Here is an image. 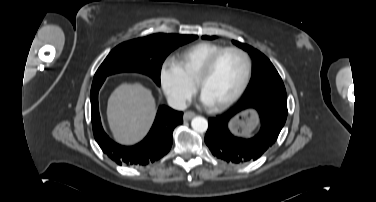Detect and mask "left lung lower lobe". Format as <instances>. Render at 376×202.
Wrapping results in <instances>:
<instances>
[{
	"label": "left lung lower lobe",
	"instance_id": "left-lung-lower-lobe-1",
	"mask_svg": "<svg viewBox=\"0 0 376 202\" xmlns=\"http://www.w3.org/2000/svg\"><path fill=\"white\" fill-rule=\"evenodd\" d=\"M247 109H255L261 119V129L253 138H238L228 129L230 119ZM287 100L259 95L241 100L222 115L208 120L205 143L217 158L244 163L258 159L277 140L287 118Z\"/></svg>",
	"mask_w": 376,
	"mask_h": 202
}]
</instances>
